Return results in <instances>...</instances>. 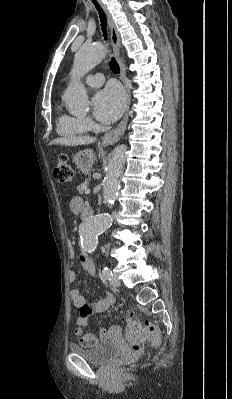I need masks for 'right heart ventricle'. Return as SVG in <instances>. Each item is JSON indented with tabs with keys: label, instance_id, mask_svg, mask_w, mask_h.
I'll return each mask as SVG.
<instances>
[{
	"label": "right heart ventricle",
	"instance_id": "obj_1",
	"mask_svg": "<svg viewBox=\"0 0 232 399\" xmlns=\"http://www.w3.org/2000/svg\"><path fill=\"white\" fill-rule=\"evenodd\" d=\"M91 129L92 127H88L83 118L68 114H60L55 123L57 135L71 141L83 138Z\"/></svg>",
	"mask_w": 232,
	"mask_h": 399
}]
</instances>
